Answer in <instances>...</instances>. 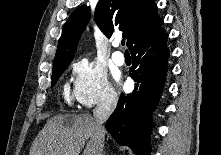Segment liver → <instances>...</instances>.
<instances>
[{"instance_id":"1","label":"liver","mask_w":221,"mask_h":155,"mask_svg":"<svg viewBox=\"0 0 221 155\" xmlns=\"http://www.w3.org/2000/svg\"><path fill=\"white\" fill-rule=\"evenodd\" d=\"M98 155L95 119L87 114L50 118L32 143L29 155Z\"/></svg>"}]
</instances>
